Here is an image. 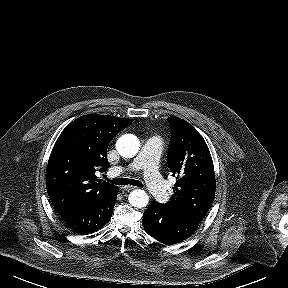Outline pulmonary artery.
<instances>
[{
	"instance_id": "pulmonary-artery-1",
	"label": "pulmonary artery",
	"mask_w": 288,
	"mask_h": 288,
	"mask_svg": "<svg viewBox=\"0 0 288 288\" xmlns=\"http://www.w3.org/2000/svg\"><path fill=\"white\" fill-rule=\"evenodd\" d=\"M162 151V140L158 136L149 138L143 145L139 155L127 167V169L136 171L143 170L145 183L149 191L159 201H165L168 198L169 191L165 181L159 174V159ZM125 170L123 167H116L114 171L121 173Z\"/></svg>"
}]
</instances>
